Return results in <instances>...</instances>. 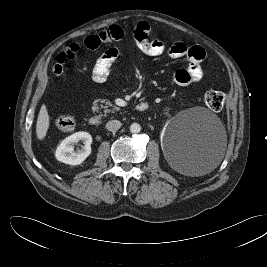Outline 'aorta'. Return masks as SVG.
<instances>
[{"label": "aorta", "instance_id": "obj_1", "mask_svg": "<svg viewBox=\"0 0 267 267\" xmlns=\"http://www.w3.org/2000/svg\"><path fill=\"white\" fill-rule=\"evenodd\" d=\"M141 130V126L138 123H133L130 126L131 133H139Z\"/></svg>", "mask_w": 267, "mask_h": 267}]
</instances>
